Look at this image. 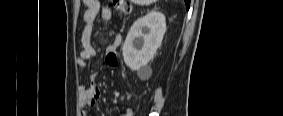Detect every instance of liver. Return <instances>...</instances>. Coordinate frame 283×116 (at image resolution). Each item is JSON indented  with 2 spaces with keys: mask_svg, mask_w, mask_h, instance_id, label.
Masks as SVG:
<instances>
[{
  "mask_svg": "<svg viewBox=\"0 0 283 116\" xmlns=\"http://www.w3.org/2000/svg\"><path fill=\"white\" fill-rule=\"evenodd\" d=\"M136 3L138 4H145V5H149L153 2H155V0H135Z\"/></svg>",
  "mask_w": 283,
  "mask_h": 116,
  "instance_id": "liver-1",
  "label": "liver"
}]
</instances>
